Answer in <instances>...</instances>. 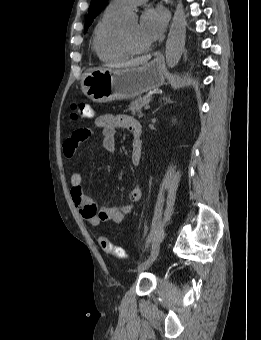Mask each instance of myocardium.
Masks as SVG:
<instances>
[{
  "label": "myocardium",
  "mask_w": 261,
  "mask_h": 340,
  "mask_svg": "<svg viewBox=\"0 0 261 340\" xmlns=\"http://www.w3.org/2000/svg\"><path fill=\"white\" fill-rule=\"evenodd\" d=\"M120 42L123 47V49L128 52L129 54L136 55V54H142L147 52L150 48L149 46L145 48H137L135 47L131 40L129 39L126 31L124 28H121L120 30Z\"/></svg>",
  "instance_id": "f54148a6"
}]
</instances>
